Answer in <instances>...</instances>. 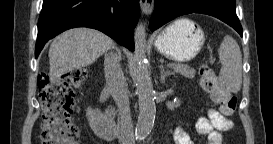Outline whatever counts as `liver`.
<instances>
[{"label": "liver", "instance_id": "obj_1", "mask_svg": "<svg viewBox=\"0 0 273 144\" xmlns=\"http://www.w3.org/2000/svg\"><path fill=\"white\" fill-rule=\"evenodd\" d=\"M113 47V40L104 33L90 28H75L57 36L50 45V81L56 84L72 69L94 63ZM120 54V52H119Z\"/></svg>", "mask_w": 273, "mask_h": 144}]
</instances>
